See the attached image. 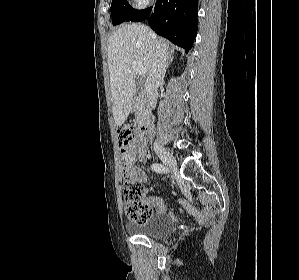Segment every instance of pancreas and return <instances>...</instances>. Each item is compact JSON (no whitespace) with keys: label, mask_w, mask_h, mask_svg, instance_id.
Returning <instances> with one entry per match:
<instances>
[{"label":"pancreas","mask_w":299,"mask_h":280,"mask_svg":"<svg viewBox=\"0 0 299 280\" xmlns=\"http://www.w3.org/2000/svg\"><path fill=\"white\" fill-rule=\"evenodd\" d=\"M134 111L136 116L137 124H141L143 122V118L145 116L146 108L141 99H136L134 103Z\"/></svg>","instance_id":"pancreas-1"}]
</instances>
